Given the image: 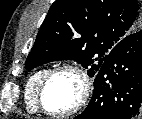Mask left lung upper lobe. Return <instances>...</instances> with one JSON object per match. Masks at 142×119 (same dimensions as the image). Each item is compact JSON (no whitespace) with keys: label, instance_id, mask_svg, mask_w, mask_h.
<instances>
[{"label":"left lung upper lobe","instance_id":"obj_1","mask_svg":"<svg viewBox=\"0 0 142 119\" xmlns=\"http://www.w3.org/2000/svg\"><path fill=\"white\" fill-rule=\"evenodd\" d=\"M141 25L136 0H56L25 65L33 69L55 60H74L93 77L111 49Z\"/></svg>","mask_w":142,"mask_h":119}]
</instances>
